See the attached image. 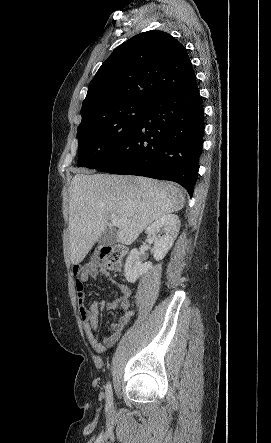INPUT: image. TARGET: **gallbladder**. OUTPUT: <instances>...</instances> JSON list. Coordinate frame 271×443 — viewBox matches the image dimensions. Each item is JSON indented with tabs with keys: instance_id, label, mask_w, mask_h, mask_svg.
Returning <instances> with one entry per match:
<instances>
[{
	"instance_id": "1",
	"label": "gallbladder",
	"mask_w": 271,
	"mask_h": 443,
	"mask_svg": "<svg viewBox=\"0 0 271 443\" xmlns=\"http://www.w3.org/2000/svg\"><path fill=\"white\" fill-rule=\"evenodd\" d=\"M113 243H117V231H112V229H107L104 231L103 235L99 237V245H113ZM95 259L97 260H87L85 266L87 269H101L103 263L101 259H103L104 254L101 251H97L94 254Z\"/></svg>"
}]
</instances>
